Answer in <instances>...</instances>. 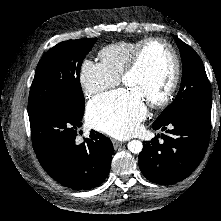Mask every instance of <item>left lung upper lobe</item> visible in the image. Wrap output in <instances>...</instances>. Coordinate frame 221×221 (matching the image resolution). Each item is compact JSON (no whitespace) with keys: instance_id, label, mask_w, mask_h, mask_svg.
<instances>
[{"instance_id":"5c2ea615","label":"left lung upper lobe","mask_w":221,"mask_h":221,"mask_svg":"<svg viewBox=\"0 0 221 221\" xmlns=\"http://www.w3.org/2000/svg\"><path fill=\"white\" fill-rule=\"evenodd\" d=\"M183 62L182 82L175 100L166 107L157 122H164L191 109L211 110L212 91L204 65L198 54L173 35Z\"/></svg>"}]
</instances>
